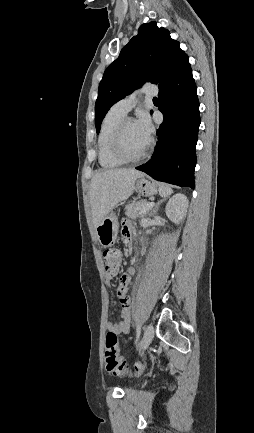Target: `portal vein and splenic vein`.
I'll return each mask as SVG.
<instances>
[{
    "label": "portal vein and splenic vein",
    "instance_id": "portal-vein-and-splenic-vein-1",
    "mask_svg": "<svg viewBox=\"0 0 254 433\" xmlns=\"http://www.w3.org/2000/svg\"><path fill=\"white\" fill-rule=\"evenodd\" d=\"M153 205H154V202H149L143 209H142V212H145L147 209H149V208H151V207H153Z\"/></svg>",
    "mask_w": 254,
    "mask_h": 433
}]
</instances>
